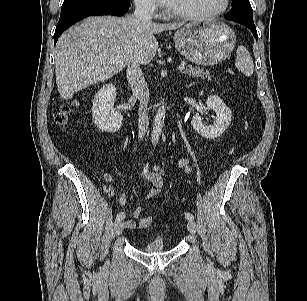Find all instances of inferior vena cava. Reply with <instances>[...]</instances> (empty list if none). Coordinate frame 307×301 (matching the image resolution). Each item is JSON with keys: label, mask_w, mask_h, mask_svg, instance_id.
Returning <instances> with one entry per match:
<instances>
[{"label": "inferior vena cava", "mask_w": 307, "mask_h": 301, "mask_svg": "<svg viewBox=\"0 0 307 301\" xmlns=\"http://www.w3.org/2000/svg\"><path fill=\"white\" fill-rule=\"evenodd\" d=\"M133 16L141 22H151L152 19V14L149 7L142 3H137L135 5ZM127 79L131 86L133 95L139 100L138 139L142 140L146 135L149 126V89L142 69L135 61H131V63L127 65Z\"/></svg>", "instance_id": "obj_1"}]
</instances>
